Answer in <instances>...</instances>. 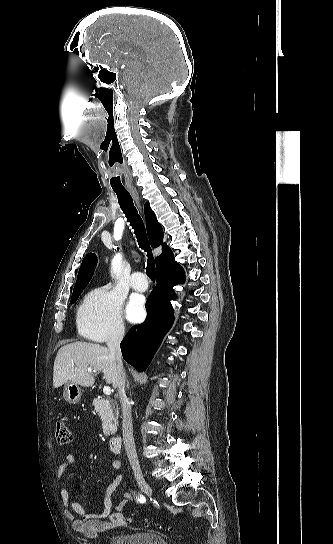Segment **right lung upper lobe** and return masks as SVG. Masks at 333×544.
<instances>
[{
  "label": "right lung upper lobe",
  "mask_w": 333,
  "mask_h": 544,
  "mask_svg": "<svg viewBox=\"0 0 333 544\" xmlns=\"http://www.w3.org/2000/svg\"><path fill=\"white\" fill-rule=\"evenodd\" d=\"M145 211V217H146V226H147V232L148 237L151 243V246L153 248H156L163 244V238L164 233L162 226L157 221V218L152 211L150 204L146 203L144 206ZM157 260V270L156 272H159L160 270H163L165 268H168L172 265L177 264L174 260L173 253L170 250L169 247H167L165 244H163L162 247V254L156 258ZM96 257L95 255L89 253L87 254L80 266L78 277L76 280V284L73 290V293L82 291L87 284L89 283L96 266Z\"/></svg>",
  "instance_id": "1"
}]
</instances>
